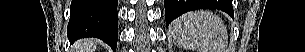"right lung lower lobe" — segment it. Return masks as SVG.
<instances>
[{
  "mask_svg": "<svg viewBox=\"0 0 305 52\" xmlns=\"http://www.w3.org/2000/svg\"><path fill=\"white\" fill-rule=\"evenodd\" d=\"M118 0H72L67 35L71 43L96 37L114 51L118 37Z\"/></svg>",
  "mask_w": 305,
  "mask_h": 52,
  "instance_id": "1",
  "label": "right lung lower lobe"
}]
</instances>
